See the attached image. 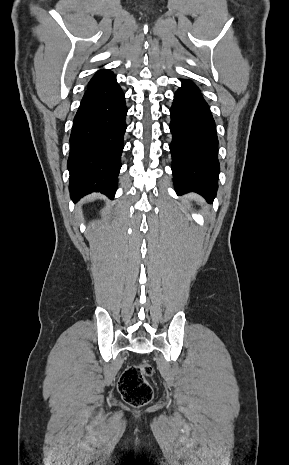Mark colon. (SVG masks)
<instances>
[{"label":"colon","mask_w":289,"mask_h":465,"mask_svg":"<svg viewBox=\"0 0 289 465\" xmlns=\"http://www.w3.org/2000/svg\"><path fill=\"white\" fill-rule=\"evenodd\" d=\"M153 369L148 363L132 365L125 369L118 383V390L129 405L141 407L152 399V388L148 378Z\"/></svg>","instance_id":"colon-1"}]
</instances>
